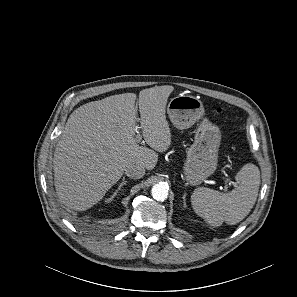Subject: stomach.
Masks as SVG:
<instances>
[{
    "label": "stomach",
    "instance_id": "obj_1",
    "mask_svg": "<svg viewBox=\"0 0 297 297\" xmlns=\"http://www.w3.org/2000/svg\"><path fill=\"white\" fill-rule=\"evenodd\" d=\"M167 113L178 129H187L204 115L203 103L191 95H177L170 100ZM221 140L219 128L203 119L195 131L194 143L187 151L184 175L191 185H199L216 170Z\"/></svg>",
    "mask_w": 297,
    "mask_h": 297
}]
</instances>
